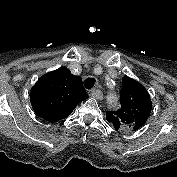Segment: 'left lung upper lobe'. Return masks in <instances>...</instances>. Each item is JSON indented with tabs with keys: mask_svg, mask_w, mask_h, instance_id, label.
<instances>
[{
	"mask_svg": "<svg viewBox=\"0 0 177 177\" xmlns=\"http://www.w3.org/2000/svg\"><path fill=\"white\" fill-rule=\"evenodd\" d=\"M120 104L121 108L117 111L106 112V119L115 130L127 132L140 129L146 123L152 109L147 90L128 76L122 79Z\"/></svg>",
	"mask_w": 177,
	"mask_h": 177,
	"instance_id": "left-lung-upper-lobe-1",
	"label": "left lung upper lobe"
}]
</instances>
